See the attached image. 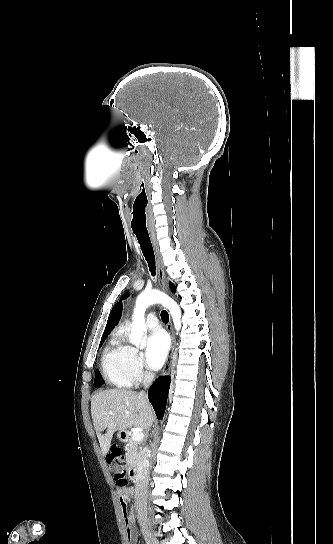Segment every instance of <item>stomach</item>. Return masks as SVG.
<instances>
[{
    "mask_svg": "<svg viewBox=\"0 0 333 544\" xmlns=\"http://www.w3.org/2000/svg\"><path fill=\"white\" fill-rule=\"evenodd\" d=\"M122 433H123V431H120V432L117 434V437H118L119 439H121Z\"/></svg>",
    "mask_w": 333,
    "mask_h": 544,
    "instance_id": "stomach-1",
    "label": "stomach"
}]
</instances>
